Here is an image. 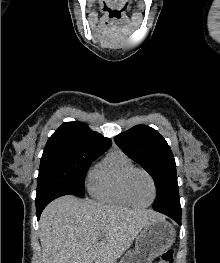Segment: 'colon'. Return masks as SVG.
Here are the masks:
<instances>
[{
	"mask_svg": "<svg viewBox=\"0 0 220 263\" xmlns=\"http://www.w3.org/2000/svg\"><path fill=\"white\" fill-rule=\"evenodd\" d=\"M173 261H174V250L172 248H169L162 253L158 263H173Z\"/></svg>",
	"mask_w": 220,
	"mask_h": 263,
	"instance_id": "5ec220e1",
	"label": "colon"
}]
</instances>
